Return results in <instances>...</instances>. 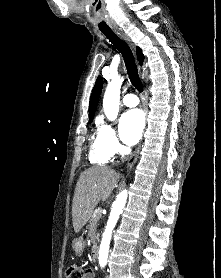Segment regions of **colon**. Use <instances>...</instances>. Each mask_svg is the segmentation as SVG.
Instances as JSON below:
<instances>
[{
	"label": "colon",
	"mask_w": 221,
	"mask_h": 278,
	"mask_svg": "<svg viewBox=\"0 0 221 278\" xmlns=\"http://www.w3.org/2000/svg\"><path fill=\"white\" fill-rule=\"evenodd\" d=\"M85 270L79 265H71L65 271V278H84Z\"/></svg>",
	"instance_id": "obj_1"
}]
</instances>
